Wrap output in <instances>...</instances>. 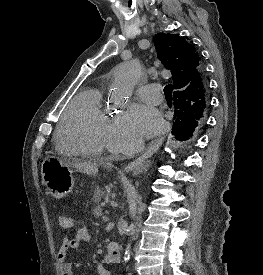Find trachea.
<instances>
[{
	"label": "trachea",
	"mask_w": 263,
	"mask_h": 275,
	"mask_svg": "<svg viewBox=\"0 0 263 275\" xmlns=\"http://www.w3.org/2000/svg\"><path fill=\"white\" fill-rule=\"evenodd\" d=\"M164 94L166 98H172V85L168 84L164 87Z\"/></svg>",
	"instance_id": "trachea-1"
}]
</instances>
